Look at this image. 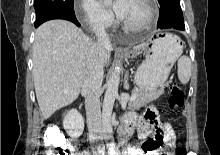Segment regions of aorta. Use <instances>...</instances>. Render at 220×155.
Listing matches in <instances>:
<instances>
[{
	"instance_id": "1",
	"label": "aorta",
	"mask_w": 220,
	"mask_h": 155,
	"mask_svg": "<svg viewBox=\"0 0 220 155\" xmlns=\"http://www.w3.org/2000/svg\"><path fill=\"white\" fill-rule=\"evenodd\" d=\"M110 0H105L109 2ZM120 81V75L118 72H113L106 84V92L103 101L102 109V129L106 134H112L111 115L115 102V98L118 96V86Z\"/></svg>"
}]
</instances>
